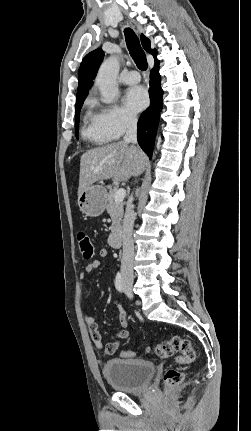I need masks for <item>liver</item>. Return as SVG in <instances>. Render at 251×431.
Instances as JSON below:
<instances>
[{
    "mask_svg": "<svg viewBox=\"0 0 251 431\" xmlns=\"http://www.w3.org/2000/svg\"><path fill=\"white\" fill-rule=\"evenodd\" d=\"M145 162V154L124 141L87 151L81 156L78 196L97 181L112 178L115 182H120L136 176Z\"/></svg>",
    "mask_w": 251,
    "mask_h": 431,
    "instance_id": "obj_1",
    "label": "liver"
}]
</instances>
